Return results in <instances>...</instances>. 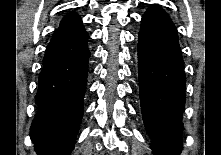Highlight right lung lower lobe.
I'll use <instances>...</instances> for the list:
<instances>
[{
	"label": "right lung lower lobe",
	"instance_id": "98d812e1",
	"mask_svg": "<svg viewBox=\"0 0 221 155\" xmlns=\"http://www.w3.org/2000/svg\"><path fill=\"white\" fill-rule=\"evenodd\" d=\"M89 35L82 22L59 28L48 44L30 128L37 155H70L83 116Z\"/></svg>",
	"mask_w": 221,
	"mask_h": 155
}]
</instances>
